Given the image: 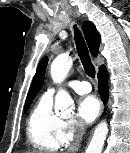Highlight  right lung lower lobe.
<instances>
[{"instance_id":"98d812e1","label":"right lung lower lobe","mask_w":130,"mask_h":153,"mask_svg":"<svg viewBox=\"0 0 130 153\" xmlns=\"http://www.w3.org/2000/svg\"><path fill=\"white\" fill-rule=\"evenodd\" d=\"M98 80H99V84H98V91L99 94L101 96V99L104 103L107 102L108 100V72L105 68V66H101L98 72Z\"/></svg>"}]
</instances>
